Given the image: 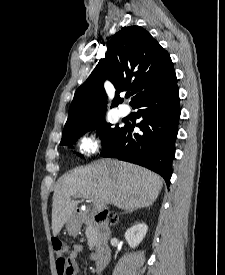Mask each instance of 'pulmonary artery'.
Segmentation results:
<instances>
[{"label": "pulmonary artery", "mask_w": 225, "mask_h": 275, "mask_svg": "<svg viewBox=\"0 0 225 275\" xmlns=\"http://www.w3.org/2000/svg\"><path fill=\"white\" fill-rule=\"evenodd\" d=\"M130 112V109L128 106H121L119 107L118 109V114L121 116V117H124V116H127Z\"/></svg>", "instance_id": "e3ab8cb5"}]
</instances>
